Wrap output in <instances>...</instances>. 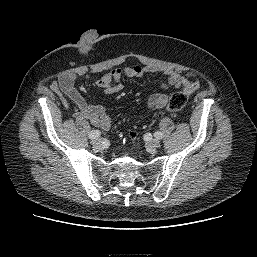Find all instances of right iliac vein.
Wrapping results in <instances>:
<instances>
[{
	"label": "right iliac vein",
	"mask_w": 257,
	"mask_h": 257,
	"mask_svg": "<svg viewBox=\"0 0 257 257\" xmlns=\"http://www.w3.org/2000/svg\"><path fill=\"white\" fill-rule=\"evenodd\" d=\"M101 144H102V140H101V139H94V140L92 141V145H93L94 147H100Z\"/></svg>",
	"instance_id": "obj_1"
}]
</instances>
